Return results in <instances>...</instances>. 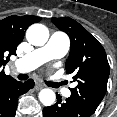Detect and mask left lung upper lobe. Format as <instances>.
Masks as SVG:
<instances>
[{
  "label": "left lung upper lobe",
  "mask_w": 117,
  "mask_h": 117,
  "mask_svg": "<svg viewBox=\"0 0 117 117\" xmlns=\"http://www.w3.org/2000/svg\"><path fill=\"white\" fill-rule=\"evenodd\" d=\"M55 26L67 33L71 50L65 64L67 74H73L77 86L71 96L94 111L105 96L109 63L104 48L82 25L69 17L52 18Z\"/></svg>",
  "instance_id": "left-lung-upper-lobe-1"
}]
</instances>
